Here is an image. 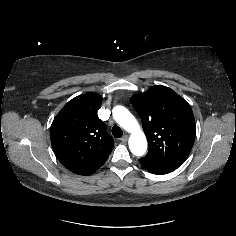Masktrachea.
<instances>
[{"mask_svg":"<svg viewBox=\"0 0 236 236\" xmlns=\"http://www.w3.org/2000/svg\"><path fill=\"white\" fill-rule=\"evenodd\" d=\"M112 134H113L114 137L120 138V137H122V135H123V131H122V129H121L120 127H118V126H113V128H112Z\"/></svg>","mask_w":236,"mask_h":236,"instance_id":"3493384b","label":"trachea"}]
</instances>
